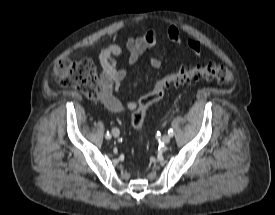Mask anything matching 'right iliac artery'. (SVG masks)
<instances>
[{
	"instance_id": "right-iliac-artery-1",
	"label": "right iliac artery",
	"mask_w": 275,
	"mask_h": 215,
	"mask_svg": "<svg viewBox=\"0 0 275 215\" xmlns=\"http://www.w3.org/2000/svg\"><path fill=\"white\" fill-rule=\"evenodd\" d=\"M107 139H110L111 138V135L109 132L106 133V136H105Z\"/></svg>"
}]
</instances>
